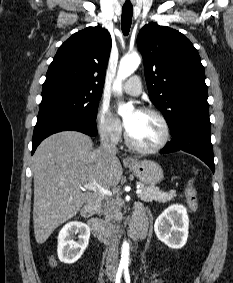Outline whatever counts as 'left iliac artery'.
I'll use <instances>...</instances> for the list:
<instances>
[{
	"label": "left iliac artery",
	"mask_w": 233,
	"mask_h": 283,
	"mask_svg": "<svg viewBox=\"0 0 233 283\" xmlns=\"http://www.w3.org/2000/svg\"><path fill=\"white\" fill-rule=\"evenodd\" d=\"M124 278L126 283H131L128 267L124 268Z\"/></svg>",
	"instance_id": "44dca946"
}]
</instances>
